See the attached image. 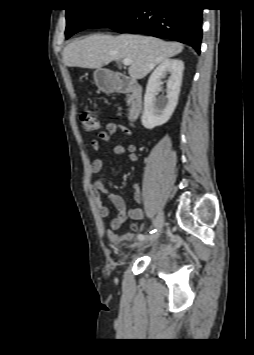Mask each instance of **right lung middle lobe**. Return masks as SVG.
Listing matches in <instances>:
<instances>
[{
	"mask_svg": "<svg viewBox=\"0 0 254 355\" xmlns=\"http://www.w3.org/2000/svg\"><path fill=\"white\" fill-rule=\"evenodd\" d=\"M141 0H96L87 7L72 8L66 11V39L87 28L108 26L129 5Z\"/></svg>",
	"mask_w": 254,
	"mask_h": 355,
	"instance_id": "obj_1",
	"label": "right lung middle lobe"
}]
</instances>
